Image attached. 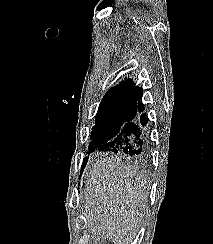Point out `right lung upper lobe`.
I'll return each mask as SVG.
<instances>
[{
    "instance_id": "cb5924a9",
    "label": "right lung upper lobe",
    "mask_w": 213,
    "mask_h": 244,
    "mask_svg": "<svg viewBox=\"0 0 213 244\" xmlns=\"http://www.w3.org/2000/svg\"><path fill=\"white\" fill-rule=\"evenodd\" d=\"M142 92V88L137 87L131 79H127L110 88L103 99L117 96L134 97L137 99Z\"/></svg>"
}]
</instances>
